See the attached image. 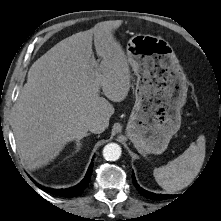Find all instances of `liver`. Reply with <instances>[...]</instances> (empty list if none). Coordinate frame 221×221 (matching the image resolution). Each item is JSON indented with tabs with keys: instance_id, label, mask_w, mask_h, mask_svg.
Here are the masks:
<instances>
[{
	"instance_id": "liver-1",
	"label": "liver",
	"mask_w": 221,
	"mask_h": 221,
	"mask_svg": "<svg viewBox=\"0 0 221 221\" xmlns=\"http://www.w3.org/2000/svg\"><path fill=\"white\" fill-rule=\"evenodd\" d=\"M121 20L97 23L48 50L28 71L15 107L14 135L20 157L29 169L53 160L67 142L87 134L89 124L101 120L106 128L113 102L130 89L127 56L113 32ZM98 65L92 58V41Z\"/></svg>"
}]
</instances>
